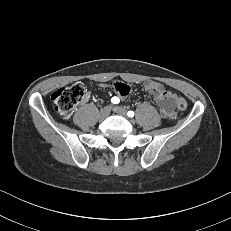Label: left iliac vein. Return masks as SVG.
I'll list each match as a JSON object with an SVG mask.
<instances>
[{"label": "left iliac vein", "mask_w": 231, "mask_h": 231, "mask_svg": "<svg viewBox=\"0 0 231 231\" xmlns=\"http://www.w3.org/2000/svg\"><path fill=\"white\" fill-rule=\"evenodd\" d=\"M114 111H115L117 114H119V115H121V116H124V117H126V115H127L126 109L123 108V107H120V106L114 107Z\"/></svg>", "instance_id": "obj_1"}]
</instances>
